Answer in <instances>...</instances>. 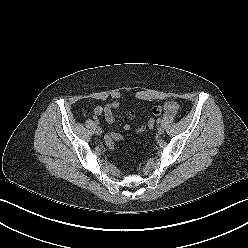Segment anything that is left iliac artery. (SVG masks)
<instances>
[{
    "label": "left iliac artery",
    "mask_w": 248,
    "mask_h": 248,
    "mask_svg": "<svg viewBox=\"0 0 248 248\" xmlns=\"http://www.w3.org/2000/svg\"><path fill=\"white\" fill-rule=\"evenodd\" d=\"M160 122H161V120H160V119H158V120H157V123H160Z\"/></svg>",
    "instance_id": "1"
}]
</instances>
